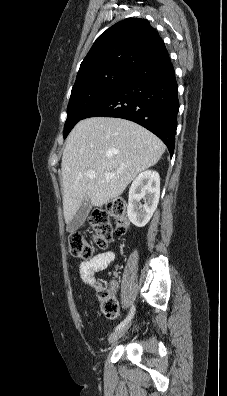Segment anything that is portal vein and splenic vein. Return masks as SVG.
Returning a JSON list of instances; mask_svg holds the SVG:
<instances>
[{"mask_svg": "<svg viewBox=\"0 0 227 396\" xmlns=\"http://www.w3.org/2000/svg\"><path fill=\"white\" fill-rule=\"evenodd\" d=\"M87 176H88L89 178L93 179V178L96 177V174H95V172H93V171H88V172H87ZM105 176H106L107 178H112L114 175H113V174L106 173Z\"/></svg>", "mask_w": 227, "mask_h": 396, "instance_id": "18ae733b", "label": "portal vein and splenic vein"}]
</instances>
